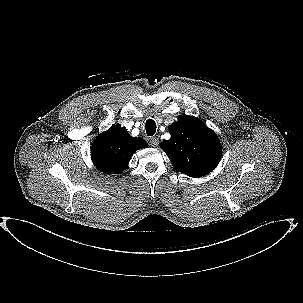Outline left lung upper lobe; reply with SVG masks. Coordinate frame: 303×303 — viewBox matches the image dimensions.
<instances>
[{
  "label": "left lung upper lobe",
  "mask_w": 303,
  "mask_h": 303,
  "mask_svg": "<svg viewBox=\"0 0 303 303\" xmlns=\"http://www.w3.org/2000/svg\"><path fill=\"white\" fill-rule=\"evenodd\" d=\"M171 138L161 148L174 169L190 177L211 172L221 159V144L215 132L198 118L181 116L169 126Z\"/></svg>",
  "instance_id": "5c2ea615"
}]
</instances>
